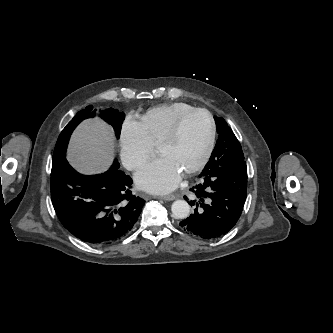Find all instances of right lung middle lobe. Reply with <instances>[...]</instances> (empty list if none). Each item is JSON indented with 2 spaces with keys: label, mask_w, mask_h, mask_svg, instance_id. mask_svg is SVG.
I'll return each instance as SVG.
<instances>
[{
  "label": "right lung middle lobe",
  "mask_w": 333,
  "mask_h": 333,
  "mask_svg": "<svg viewBox=\"0 0 333 333\" xmlns=\"http://www.w3.org/2000/svg\"><path fill=\"white\" fill-rule=\"evenodd\" d=\"M92 109H93L92 106H88L85 108V110H81L80 112H78L74 116V118L67 124V126L63 129V131L61 132V134L59 135V138L57 140V143H56V146L54 149L53 159L59 158L61 156H65L66 147H67V144H68L72 131L84 119L92 118L95 116L96 110H92ZM100 115L102 116L103 120H105L107 123L111 124V126L114 128L117 138H119L122 122L124 120V114L119 113L118 110L109 108V109L103 110Z\"/></svg>",
  "instance_id": "dd1d6c3e"
}]
</instances>
